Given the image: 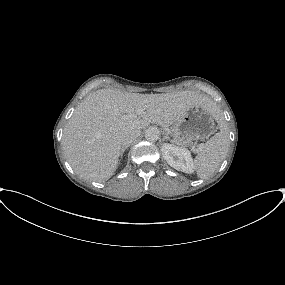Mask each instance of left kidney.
Here are the masks:
<instances>
[{"mask_svg": "<svg viewBox=\"0 0 285 285\" xmlns=\"http://www.w3.org/2000/svg\"><path fill=\"white\" fill-rule=\"evenodd\" d=\"M161 151L166 162L174 169L185 173L193 172V160L190 151L186 148L164 143Z\"/></svg>", "mask_w": 285, "mask_h": 285, "instance_id": "obj_1", "label": "left kidney"}]
</instances>
